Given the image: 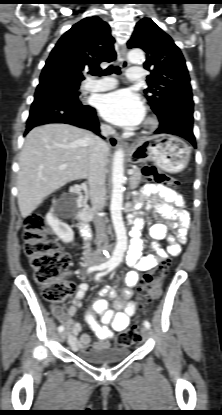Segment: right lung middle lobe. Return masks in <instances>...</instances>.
Instances as JSON below:
<instances>
[{
    "mask_svg": "<svg viewBox=\"0 0 222 415\" xmlns=\"http://www.w3.org/2000/svg\"><path fill=\"white\" fill-rule=\"evenodd\" d=\"M79 86L80 84H74L68 81V87H69L70 92H72L75 96H78V97L80 94Z\"/></svg>",
    "mask_w": 222,
    "mask_h": 415,
    "instance_id": "1",
    "label": "right lung middle lobe"
}]
</instances>
